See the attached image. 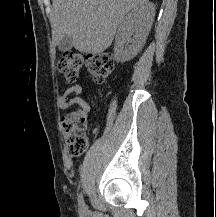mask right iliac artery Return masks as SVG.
Here are the masks:
<instances>
[{
  "instance_id": "obj_1",
  "label": "right iliac artery",
  "mask_w": 216,
  "mask_h": 217,
  "mask_svg": "<svg viewBox=\"0 0 216 217\" xmlns=\"http://www.w3.org/2000/svg\"><path fill=\"white\" fill-rule=\"evenodd\" d=\"M78 203H79L80 210L85 211L86 207H85L82 193L79 195Z\"/></svg>"
}]
</instances>
